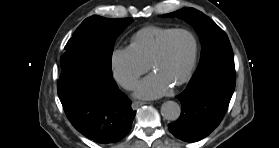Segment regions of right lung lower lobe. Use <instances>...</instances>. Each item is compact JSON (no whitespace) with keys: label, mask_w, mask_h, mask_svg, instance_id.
Here are the masks:
<instances>
[{"label":"right lung lower lobe","mask_w":279,"mask_h":148,"mask_svg":"<svg viewBox=\"0 0 279 148\" xmlns=\"http://www.w3.org/2000/svg\"><path fill=\"white\" fill-rule=\"evenodd\" d=\"M57 90L71 124L101 144L118 142L130 131L136 111L105 70L96 50L88 45L66 47ZM83 62L82 69L77 68Z\"/></svg>","instance_id":"98d812e1"}]
</instances>
